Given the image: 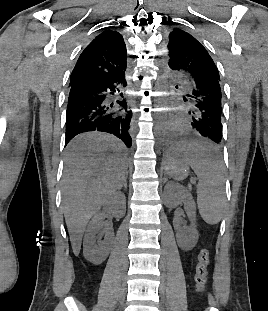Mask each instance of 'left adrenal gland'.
Listing matches in <instances>:
<instances>
[{"label":"left adrenal gland","mask_w":268,"mask_h":311,"mask_svg":"<svg viewBox=\"0 0 268 311\" xmlns=\"http://www.w3.org/2000/svg\"><path fill=\"white\" fill-rule=\"evenodd\" d=\"M166 181H167V178L165 177V178H164V183H166Z\"/></svg>","instance_id":"obj_1"}]
</instances>
